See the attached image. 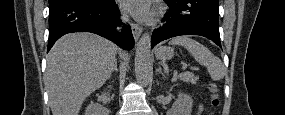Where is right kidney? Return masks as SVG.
Listing matches in <instances>:
<instances>
[{
	"instance_id": "ca27d5eb",
	"label": "right kidney",
	"mask_w": 285,
	"mask_h": 115,
	"mask_svg": "<svg viewBox=\"0 0 285 115\" xmlns=\"http://www.w3.org/2000/svg\"><path fill=\"white\" fill-rule=\"evenodd\" d=\"M85 115H107V111L100 104L91 103L87 106Z\"/></svg>"
}]
</instances>
